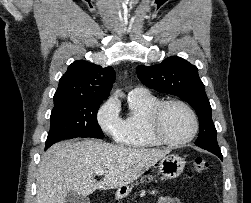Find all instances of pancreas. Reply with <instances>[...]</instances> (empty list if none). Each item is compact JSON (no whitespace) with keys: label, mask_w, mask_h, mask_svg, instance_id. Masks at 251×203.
Instances as JSON below:
<instances>
[{"label":"pancreas","mask_w":251,"mask_h":203,"mask_svg":"<svg viewBox=\"0 0 251 203\" xmlns=\"http://www.w3.org/2000/svg\"><path fill=\"white\" fill-rule=\"evenodd\" d=\"M150 193H151V194H155V193H156V191H155V190H153V191H151ZM140 195H141V196H145V191H144V190H142V191H141V193H140Z\"/></svg>","instance_id":"1"}]
</instances>
